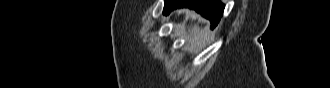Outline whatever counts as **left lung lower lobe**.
I'll use <instances>...</instances> for the list:
<instances>
[{
	"instance_id": "0a47b994",
	"label": "left lung lower lobe",
	"mask_w": 330,
	"mask_h": 88,
	"mask_svg": "<svg viewBox=\"0 0 330 88\" xmlns=\"http://www.w3.org/2000/svg\"><path fill=\"white\" fill-rule=\"evenodd\" d=\"M163 13L167 15L173 9L180 7H188L196 10L205 18L211 22V27L217 26L220 21L223 11L224 4L220 0H164Z\"/></svg>"
}]
</instances>
